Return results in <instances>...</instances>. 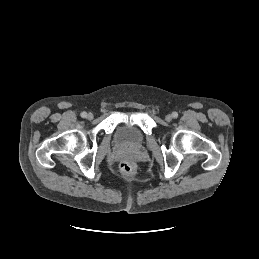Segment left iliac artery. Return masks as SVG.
I'll list each match as a JSON object with an SVG mask.
<instances>
[{"label": "left iliac artery", "instance_id": "44dca946", "mask_svg": "<svg viewBox=\"0 0 259 259\" xmlns=\"http://www.w3.org/2000/svg\"><path fill=\"white\" fill-rule=\"evenodd\" d=\"M172 116H173L174 118H177V117H178V113H177V112H173V113H172Z\"/></svg>", "mask_w": 259, "mask_h": 259}]
</instances>
